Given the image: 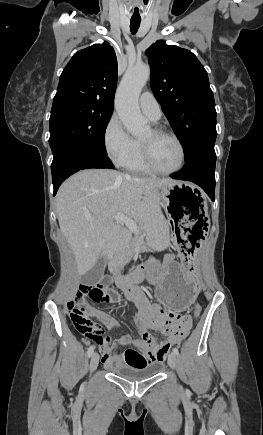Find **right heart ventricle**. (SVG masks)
Masks as SVG:
<instances>
[{"label": "right heart ventricle", "mask_w": 263, "mask_h": 435, "mask_svg": "<svg viewBox=\"0 0 263 435\" xmlns=\"http://www.w3.org/2000/svg\"><path fill=\"white\" fill-rule=\"evenodd\" d=\"M125 167L137 174H150L152 173L147 167L142 150L141 141L135 140V152L130 161L125 165Z\"/></svg>", "instance_id": "e07e8e85"}]
</instances>
